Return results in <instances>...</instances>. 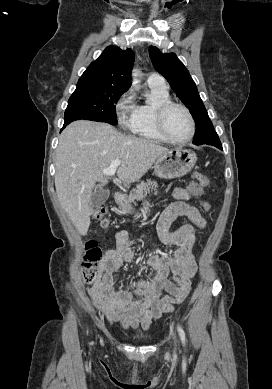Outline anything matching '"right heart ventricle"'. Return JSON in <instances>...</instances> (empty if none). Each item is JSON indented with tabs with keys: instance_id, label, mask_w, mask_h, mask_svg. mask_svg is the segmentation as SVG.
Returning <instances> with one entry per match:
<instances>
[{
	"instance_id": "right-heart-ventricle-1",
	"label": "right heart ventricle",
	"mask_w": 272,
	"mask_h": 389,
	"mask_svg": "<svg viewBox=\"0 0 272 389\" xmlns=\"http://www.w3.org/2000/svg\"><path fill=\"white\" fill-rule=\"evenodd\" d=\"M169 100L171 97L166 87L149 85L146 101L133 108L128 129L145 139L166 141L156 127L155 112L160 104Z\"/></svg>"
}]
</instances>
